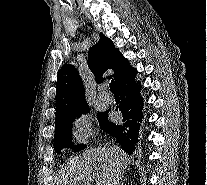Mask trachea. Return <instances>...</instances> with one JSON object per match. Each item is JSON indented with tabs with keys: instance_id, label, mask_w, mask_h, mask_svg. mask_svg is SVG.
<instances>
[{
	"instance_id": "1",
	"label": "trachea",
	"mask_w": 207,
	"mask_h": 185,
	"mask_svg": "<svg viewBox=\"0 0 207 185\" xmlns=\"http://www.w3.org/2000/svg\"><path fill=\"white\" fill-rule=\"evenodd\" d=\"M110 90H111L114 94H118V91H117V88H116V85H115L114 80H111V83H110Z\"/></svg>"
}]
</instances>
